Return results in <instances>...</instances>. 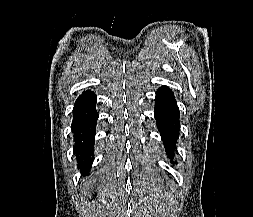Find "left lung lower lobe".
Returning a JSON list of instances; mask_svg holds the SVG:
<instances>
[{
	"instance_id": "1",
	"label": "left lung lower lobe",
	"mask_w": 253,
	"mask_h": 217,
	"mask_svg": "<svg viewBox=\"0 0 253 217\" xmlns=\"http://www.w3.org/2000/svg\"><path fill=\"white\" fill-rule=\"evenodd\" d=\"M155 119L160 130L166 152L173 160L172 146L176 144L179 134V109L172 91L168 87H161L155 99ZM174 163V162H172Z\"/></svg>"
}]
</instances>
